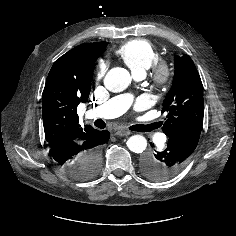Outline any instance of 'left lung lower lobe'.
<instances>
[{
	"instance_id": "left-lung-lower-lobe-1",
	"label": "left lung lower lobe",
	"mask_w": 236,
	"mask_h": 236,
	"mask_svg": "<svg viewBox=\"0 0 236 236\" xmlns=\"http://www.w3.org/2000/svg\"><path fill=\"white\" fill-rule=\"evenodd\" d=\"M202 126H194L169 137L167 148L148 153L141 163L143 174L149 179L163 181L177 175L188 163L200 137Z\"/></svg>"
}]
</instances>
